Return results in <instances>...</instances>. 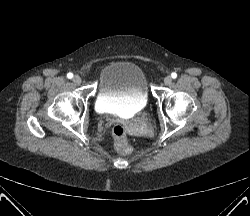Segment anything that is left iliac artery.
<instances>
[{"label": "left iliac artery", "mask_w": 250, "mask_h": 216, "mask_svg": "<svg viewBox=\"0 0 250 216\" xmlns=\"http://www.w3.org/2000/svg\"><path fill=\"white\" fill-rule=\"evenodd\" d=\"M171 77H172L173 79H175V78L177 77V74H176L175 72H173V73L171 74Z\"/></svg>", "instance_id": "left-iliac-artery-1"}]
</instances>
